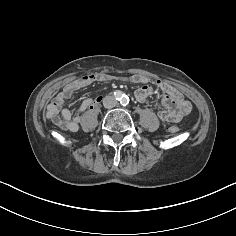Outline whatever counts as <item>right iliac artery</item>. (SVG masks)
Masks as SVG:
<instances>
[{"label": "right iliac artery", "mask_w": 236, "mask_h": 236, "mask_svg": "<svg viewBox=\"0 0 236 236\" xmlns=\"http://www.w3.org/2000/svg\"><path fill=\"white\" fill-rule=\"evenodd\" d=\"M114 95H115V98H116L117 100H122V98H123V96H124L120 90H116V91L114 92Z\"/></svg>", "instance_id": "82829eb1"}]
</instances>
